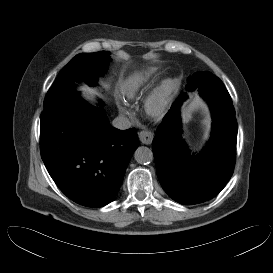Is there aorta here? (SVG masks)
Returning a JSON list of instances; mask_svg holds the SVG:
<instances>
[{
	"label": "aorta",
	"mask_w": 273,
	"mask_h": 273,
	"mask_svg": "<svg viewBox=\"0 0 273 273\" xmlns=\"http://www.w3.org/2000/svg\"><path fill=\"white\" fill-rule=\"evenodd\" d=\"M135 160L140 164H149L153 161V152L150 148L140 146L134 153Z\"/></svg>",
	"instance_id": "obj_1"
}]
</instances>
